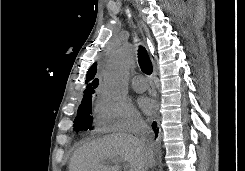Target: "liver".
Returning <instances> with one entry per match:
<instances>
[{"label": "liver", "mask_w": 245, "mask_h": 171, "mask_svg": "<svg viewBox=\"0 0 245 171\" xmlns=\"http://www.w3.org/2000/svg\"><path fill=\"white\" fill-rule=\"evenodd\" d=\"M119 159L129 163V171L153 167L154 154L149 160L137 137L111 134L83 144L72 155L69 171H121L120 165L106 166L104 162Z\"/></svg>", "instance_id": "6515ba94"}]
</instances>
